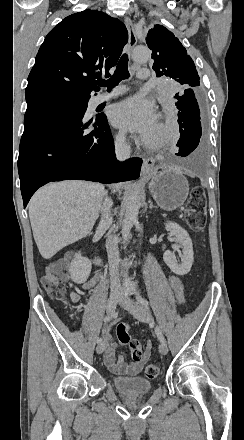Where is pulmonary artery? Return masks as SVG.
<instances>
[{"label":"pulmonary artery","instance_id":"e3ab8cb5","mask_svg":"<svg viewBox=\"0 0 244 440\" xmlns=\"http://www.w3.org/2000/svg\"><path fill=\"white\" fill-rule=\"evenodd\" d=\"M136 76L138 78H146L148 76V71L146 69H138L136 71ZM112 94L109 95H104V94H100L95 96L94 98L91 99L90 101V106L94 107L97 106L98 104H100L101 102L110 99V98H114L116 96H118L119 94H123V89H119V88H114L112 89Z\"/></svg>","mask_w":244,"mask_h":440}]
</instances>
